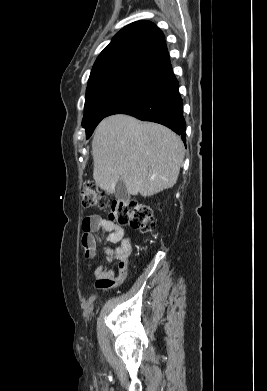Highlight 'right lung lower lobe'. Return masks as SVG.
<instances>
[{"instance_id":"right-lung-lower-lobe-1","label":"right lung lower lobe","mask_w":267,"mask_h":391,"mask_svg":"<svg viewBox=\"0 0 267 391\" xmlns=\"http://www.w3.org/2000/svg\"><path fill=\"white\" fill-rule=\"evenodd\" d=\"M179 83L171 65L154 74L147 83L117 104L109 113L128 114L143 121H152L167 126L185 143L186 123L183 117V100Z\"/></svg>"}]
</instances>
